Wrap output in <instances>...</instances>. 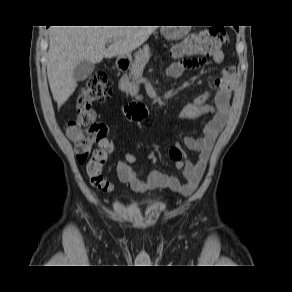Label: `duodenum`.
I'll return each instance as SVG.
<instances>
[{"label":"duodenum","mask_w":292,"mask_h":292,"mask_svg":"<svg viewBox=\"0 0 292 292\" xmlns=\"http://www.w3.org/2000/svg\"><path fill=\"white\" fill-rule=\"evenodd\" d=\"M128 68V62L125 59L119 58L117 60V69L119 71H125ZM127 113L131 116H141L146 113V109L141 104H131L128 109Z\"/></svg>","instance_id":"410a0bca"}]
</instances>
